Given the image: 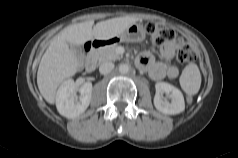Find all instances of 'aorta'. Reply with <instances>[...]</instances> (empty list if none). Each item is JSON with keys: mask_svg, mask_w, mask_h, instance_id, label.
Masks as SVG:
<instances>
[{"mask_svg": "<svg viewBox=\"0 0 238 158\" xmlns=\"http://www.w3.org/2000/svg\"><path fill=\"white\" fill-rule=\"evenodd\" d=\"M130 70V67L128 64H120L119 65V72L121 74H127Z\"/></svg>", "mask_w": 238, "mask_h": 158, "instance_id": "obj_1", "label": "aorta"}]
</instances>
